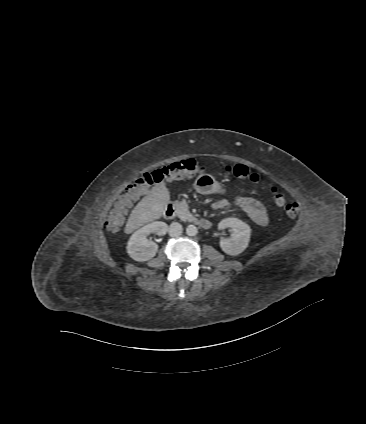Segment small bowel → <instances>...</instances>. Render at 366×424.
<instances>
[{
	"mask_svg": "<svg viewBox=\"0 0 366 424\" xmlns=\"http://www.w3.org/2000/svg\"><path fill=\"white\" fill-rule=\"evenodd\" d=\"M235 203L248 215V217L259 226H266L269 222V217L264 205L255 198L241 196L235 199ZM227 199H220L213 203V208L222 210L228 207Z\"/></svg>",
	"mask_w": 366,
	"mask_h": 424,
	"instance_id": "c3829d8e",
	"label": "small bowel"
}]
</instances>
